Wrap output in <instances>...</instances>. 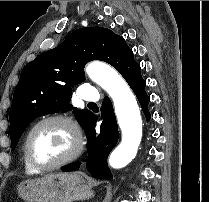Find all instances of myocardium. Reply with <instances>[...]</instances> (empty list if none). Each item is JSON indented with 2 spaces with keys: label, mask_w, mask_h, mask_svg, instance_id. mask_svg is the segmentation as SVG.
<instances>
[{
  "label": "myocardium",
  "mask_w": 209,
  "mask_h": 202,
  "mask_svg": "<svg viewBox=\"0 0 209 202\" xmlns=\"http://www.w3.org/2000/svg\"><path fill=\"white\" fill-rule=\"evenodd\" d=\"M49 122H57L65 126L72 135L73 145H72L71 150L68 152V154L62 157L61 159H59L58 161L48 164V165H42V164L37 163L31 155L30 139L33 133L41 125L49 123ZM83 147H84V136H83L80 126L73 118L64 114H50V115H46L40 118L30 127L23 141V153L28 164L33 169H35L36 171H40V172L59 169L71 163L72 161H74L75 159L79 157V155L82 153Z\"/></svg>",
  "instance_id": "1"
}]
</instances>
